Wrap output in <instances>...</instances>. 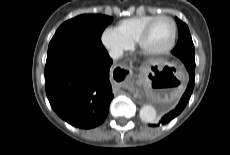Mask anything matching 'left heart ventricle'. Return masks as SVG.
<instances>
[{
	"mask_svg": "<svg viewBox=\"0 0 230 155\" xmlns=\"http://www.w3.org/2000/svg\"><path fill=\"white\" fill-rule=\"evenodd\" d=\"M173 26L167 19L157 20L151 27L145 40V48L148 50H161L172 39Z\"/></svg>",
	"mask_w": 230,
	"mask_h": 155,
	"instance_id": "obj_1",
	"label": "left heart ventricle"
}]
</instances>
